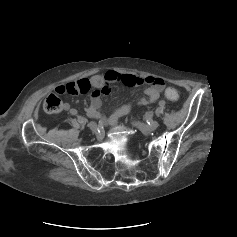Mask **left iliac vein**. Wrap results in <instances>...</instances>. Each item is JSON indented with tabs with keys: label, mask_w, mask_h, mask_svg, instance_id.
Returning a JSON list of instances; mask_svg holds the SVG:
<instances>
[{
	"label": "left iliac vein",
	"mask_w": 237,
	"mask_h": 237,
	"mask_svg": "<svg viewBox=\"0 0 237 237\" xmlns=\"http://www.w3.org/2000/svg\"><path fill=\"white\" fill-rule=\"evenodd\" d=\"M134 124L142 131H154L159 126V123L157 121H152L149 125H145L141 122L134 121Z\"/></svg>",
	"instance_id": "1"
}]
</instances>
